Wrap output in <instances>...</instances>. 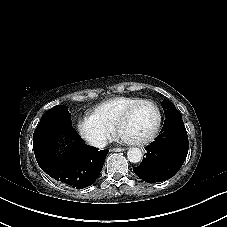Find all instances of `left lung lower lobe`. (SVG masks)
Returning <instances> with one entry per match:
<instances>
[{"label":"left lung lower lobe","instance_id":"0a47b994","mask_svg":"<svg viewBox=\"0 0 227 227\" xmlns=\"http://www.w3.org/2000/svg\"><path fill=\"white\" fill-rule=\"evenodd\" d=\"M156 140L146 147L142 163L134 173L145 182L170 179L181 168L188 153L189 141L182 118H167Z\"/></svg>","mask_w":227,"mask_h":227}]
</instances>
